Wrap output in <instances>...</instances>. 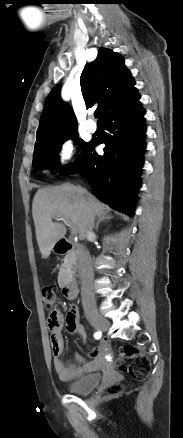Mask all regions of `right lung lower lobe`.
<instances>
[{"label": "right lung lower lobe", "mask_w": 183, "mask_h": 438, "mask_svg": "<svg viewBox=\"0 0 183 438\" xmlns=\"http://www.w3.org/2000/svg\"><path fill=\"white\" fill-rule=\"evenodd\" d=\"M136 94L101 119L107 132L101 142L91 140L76 164L61 175L82 174L95 195L116 210L132 216L136 193L140 187V172L145 151V110ZM105 143L104 155L93 152Z\"/></svg>", "instance_id": "obj_1"}]
</instances>
